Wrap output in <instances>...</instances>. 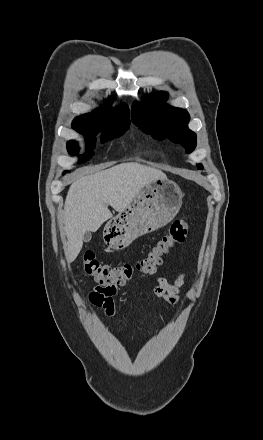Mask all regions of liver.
Listing matches in <instances>:
<instances>
[{"label":"liver","mask_w":263,"mask_h":440,"mask_svg":"<svg viewBox=\"0 0 263 440\" xmlns=\"http://www.w3.org/2000/svg\"><path fill=\"white\" fill-rule=\"evenodd\" d=\"M161 178L166 174L159 169L128 162L76 179L63 211L67 262H73L80 253L86 232H96L112 218L109 205L122 212L145 185Z\"/></svg>","instance_id":"liver-1"}]
</instances>
